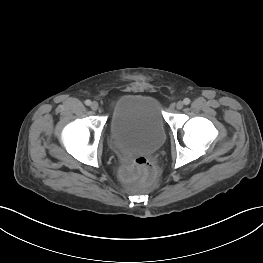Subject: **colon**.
<instances>
[{
	"instance_id": "obj_1",
	"label": "colon",
	"mask_w": 263,
	"mask_h": 263,
	"mask_svg": "<svg viewBox=\"0 0 263 263\" xmlns=\"http://www.w3.org/2000/svg\"><path fill=\"white\" fill-rule=\"evenodd\" d=\"M131 176L140 177L145 184H151L156 179V169L153 164L146 158H138L134 164L129 168Z\"/></svg>"
}]
</instances>
